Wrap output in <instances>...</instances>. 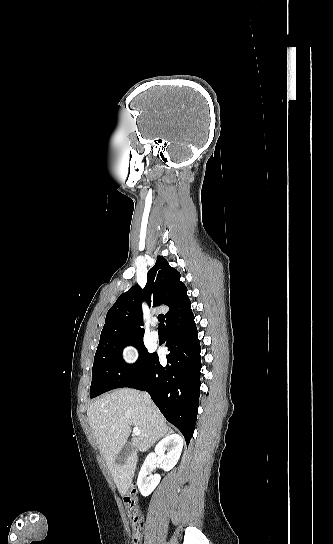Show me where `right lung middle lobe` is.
Wrapping results in <instances>:
<instances>
[{"instance_id": "obj_1", "label": "right lung middle lobe", "mask_w": 333, "mask_h": 544, "mask_svg": "<svg viewBox=\"0 0 333 544\" xmlns=\"http://www.w3.org/2000/svg\"><path fill=\"white\" fill-rule=\"evenodd\" d=\"M128 345L136 347L139 352V358L134 364H127L122 357V351ZM151 357L152 354L148 353L143 344V336L100 340L92 368L90 397L94 398L115 388L128 387L139 381Z\"/></svg>"}]
</instances>
